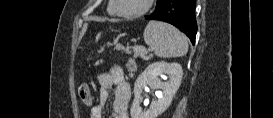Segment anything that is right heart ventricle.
Returning a JSON list of instances; mask_svg holds the SVG:
<instances>
[{
	"label": "right heart ventricle",
	"mask_w": 273,
	"mask_h": 118,
	"mask_svg": "<svg viewBox=\"0 0 273 118\" xmlns=\"http://www.w3.org/2000/svg\"><path fill=\"white\" fill-rule=\"evenodd\" d=\"M107 11H108V13H110V14L113 13V10H112V8H111V5L108 6Z\"/></svg>",
	"instance_id": "e07e8e85"
}]
</instances>
